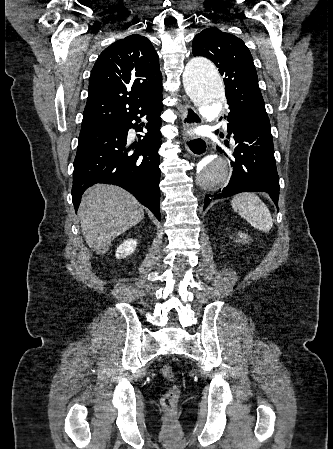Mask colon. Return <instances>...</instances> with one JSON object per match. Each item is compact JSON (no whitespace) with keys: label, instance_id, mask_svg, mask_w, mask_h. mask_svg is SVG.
Listing matches in <instances>:
<instances>
[{"label":"colon","instance_id":"obj_1","mask_svg":"<svg viewBox=\"0 0 333 449\" xmlns=\"http://www.w3.org/2000/svg\"><path fill=\"white\" fill-rule=\"evenodd\" d=\"M161 374L165 379H167L169 381L173 380L174 376H175L174 370L171 366H164L161 369ZM179 394H180L179 387L173 386L171 389H169L164 394L163 399H162L163 405L167 409L172 410L177 404Z\"/></svg>","mask_w":333,"mask_h":449}]
</instances>
